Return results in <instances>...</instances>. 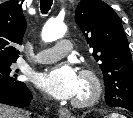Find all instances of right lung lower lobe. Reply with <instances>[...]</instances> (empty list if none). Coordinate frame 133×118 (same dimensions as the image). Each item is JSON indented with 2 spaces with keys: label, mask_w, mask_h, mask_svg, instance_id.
<instances>
[{
  "label": "right lung lower lobe",
  "mask_w": 133,
  "mask_h": 118,
  "mask_svg": "<svg viewBox=\"0 0 133 118\" xmlns=\"http://www.w3.org/2000/svg\"><path fill=\"white\" fill-rule=\"evenodd\" d=\"M32 100V94L23 83L16 87L0 89V103L15 107H26Z\"/></svg>",
  "instance_id": "right-lung-lower-lobe-1"
}]
</instances>
